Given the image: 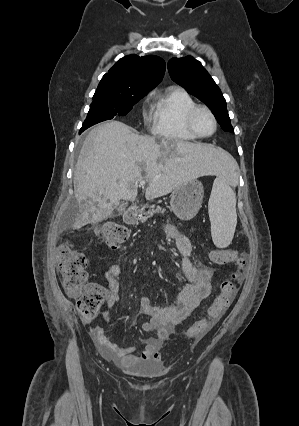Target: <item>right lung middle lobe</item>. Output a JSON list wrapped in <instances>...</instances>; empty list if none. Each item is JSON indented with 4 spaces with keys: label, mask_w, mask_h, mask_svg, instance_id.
<instances>
[{
    "label": "right lung middle lobe",
    "mask_w": 299,
    "mask_h": 426,
    "mask_svg": "<svg viewBox=\"0 0 299 426\" xmlns=\"http://www.w3.org/2000/svg\"><path fill=\"white\" fill-rule=\"evenodd\" d=\"M147 93L148 91L126 95L109 89L97 88L80 133L96 123L112 119L114 116L126 115L133 105Z\"/></svg>",
    "instance_id": "dd1d6c3e"
}]
</instances>
